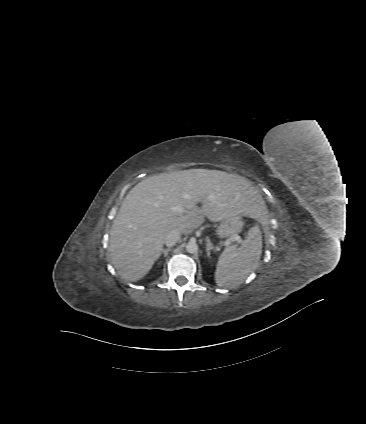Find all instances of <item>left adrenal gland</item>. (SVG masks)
I'll return each instance as SVG.
<instances>
[{"instance_id": "a2214340", "label": "left adrenal gland", "mask_w": 366, "mask_h": 424, "mask_svg": "<svg viewBox=\"0 0 366 424\" xmlns=\"http://www.w3.org/2000/svg\"><path fill=\"white\" fill-rule=\"evenodd\" d=\"M206 241H207V244H206V252H207V256H208L209 258H211V257H210V252H211V251H215V249H214V247H213V245H212V243H211V241H210V239H209V238H206Z\"/></svg>"}]
</instances>
